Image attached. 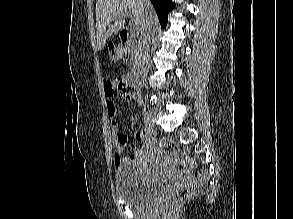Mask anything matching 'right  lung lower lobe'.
<instances>
[{"instance_id":"1","label":"right lung lower lobe","mask_w":293,"mask_h":219,"mask_svg":"<svg viewBox=\"0 0 293 219\" xmlns=\"http://www.w3.org/2000/svg\"><path fill=\"white\" fill-rule=\"evenodd\" d=\"M151 2L156 9L161 26L165 27L168 13L174 8V3L171 0H151Z\"/></svg>"}]
</instances>
